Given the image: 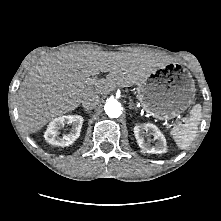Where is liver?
Segmentation results:
<instances>
[{
    "mask_svg": "<svg viewBox=\"0 0 221 221\" xmlns=\"http://www.w3.org/2000/svg\"><path fill=\"white\" fill-rule=\"evenodd\" d=\"M156 57L140 52L67 50L42 57L19 89L20 120L37 132L54 117L75 110L86 97L137 84L159 67ZM106 78H98L100 73Z\"/></svg>",
    "mask_w": 221,
    "mask_h": 221,
    "instance_id": "obj_1",
    "label": "liver"
}]
</instances>
